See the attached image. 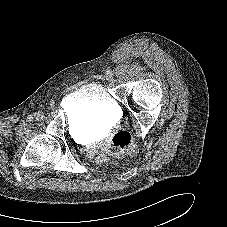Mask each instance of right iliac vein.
<instances>
[{
	"instance_id": "right-iliac-vein-1",
	"label": "right iliac vein",
	"mask_w": 227,
	"mask_h": 227,
	"mask_svg": "<svg viewBox=\"0 0 227 227\" xmlns=\"http://www.w3.org/2000/svg\"><path fill=\"white\" fill-rule=\"evenodd\" d=\"M34 117H35L36 120H42L43 117H44V115H43L42 112H36V113L34 114Z\"/></svg>"
}]
</instances>
